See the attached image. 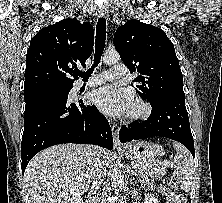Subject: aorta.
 I'll return each mask as SVG.
<instances>
[{
  "mask_svg": "<svg viewBox=\"0 0 222 203\" xmlns=\"http://www.w3.org/2000/svg\"><path fill=\"white\" fill-rule=\"evenodd\" d=\"M120 56L117 52H106L103 55V61L106 64H115L119 61ZM111 181H112V187L116 193L120 192L122 188L124 187V176L121 172V169L116 166L112 169L111 173Z\"/></svg>",
  "mask_w": 222,
  "mask_h": 203,
  "instance_id": "aorta-1",
  "label": "aorta"
}]
</instances>
